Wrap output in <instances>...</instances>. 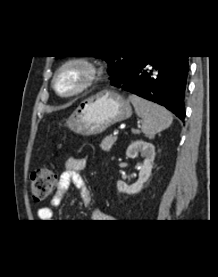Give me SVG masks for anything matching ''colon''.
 <instances>
[{"label":"colon","instance_id":"5ec220e1","mask_svg":"<svg viewBox=\"0 0 218 277\" xmlns=\"http://www.w3.org/2000/svg\"><path fill=\"white\" fill-rule=\"evenodd\" d=\"M57 182L55 173L48 168H39L31 174L32 196L37 201L45 200L53 192Z\"/></svg>","mask_w":218,"mask_h":277}]
</instances>
